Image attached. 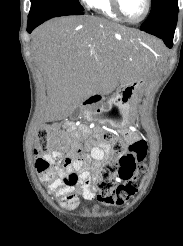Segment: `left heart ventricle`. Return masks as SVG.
I'll return each mask as SVG.
<instances>
[{
    "instance_id": "b2bd125f",
    "label": "left heart ventricle",
    "mask_w": 183,
    "mask_h": 246,
    "mask_svg": "<svg viewBox=\"0 0 183 246\" xmlns=\"http://www.w3.org/2000/svg\"><path fill=\"white\" fill-rule=\"evenodd\" d=\"M123 12L130 19H138L145 11V0H121Z\"/></svg>"
}]
</instances>
